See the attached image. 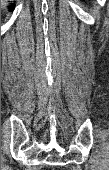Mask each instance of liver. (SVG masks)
<instances>
[{
    "label": "liver",
    "instance_id": "obj_1",
    "mask_svg": "<svg viewBox=\"0 0 109 170\" xmlns=\"http://www.w3.org/2000/svg\"><path fill=\"white\" fill-rule=\"evenodd\" d=\"M8 0H2V5L5 6Z\"/></svg>",
    "mask_w": 109,
    "mask_h": 170
}]
</instances>
